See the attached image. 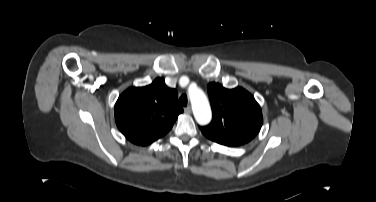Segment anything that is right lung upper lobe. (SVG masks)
I'll return each instance as SVG.
<instances>
[{
  "label": "right lung upper lobe",
  "mask_w": 376,
  "mask_h": 202,
  "mask_svg": "<svg viewBox=\"0 0 376 202\" xmlns=\"http://www.w3.org/2000/svg\"><path fill=\"white\" fill-rule=\"evenodd\" d=\"M183 109L175 89L156 78L145 87H131L115 104V120L120 132L132 143L147 146L166 135Z\"/></svg>",
  "instance_id": "obj_1"
}]
</instances>
